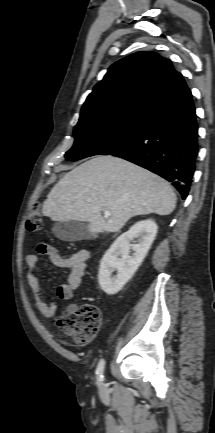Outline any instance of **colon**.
Segmentation results:
<instances>
[{"label": "colon", "mask_w": 215, "mask_h": 433, "mask_svg": "<svg viewBox=\"0 0 215 433\" xmlns=\"http://www.w3.org/2000/svg\"><path fill=\"white\" fill-rule=\"evenodd\" d=\"M43 218L38 204L33 205L27 220L26 230L34 233L42 230ZM100 310L94 304H83L78 310L57 319V324L81 345L90 343L100 326Z\"/></svg>", "instance_id": "obj_1"}]
</instances>
